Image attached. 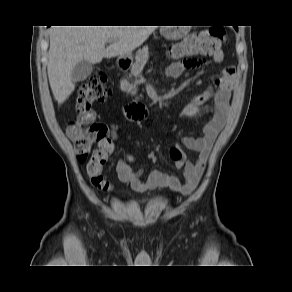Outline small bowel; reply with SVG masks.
Returning a JSON list of instances; mask_svg holds the SVG:
<instances>
[{"label":"small bowel","mask_w":292,"mask_h":292,"mask_svg":"<svg viewBox=\"0 0 292 292\" xmlns=\"http://www.w3.org/2000/svg\"><path fill=\"white\" fill-rule=\"evenodd\" d=\"M224 53L217 49L213 53L214 63H221ZM205 63L203 58H188L171 63L165 70L169 78H178L185 69H198ZM235 84V69L227 67L223 70L222 76L215 81L216 89L209 88L202 94L196 96L182 110L184 117H196L203 113H209L203 135L198 138H185L184 146L197 153L194 162L186 161L184 156L175 161V166L183 170V178L159 171L152 170L145 177L141 171H135L131 163L135 158L127 154L125 159L118 161L116 172L120 181L128 183L136 191H144L154 188H169L184 195L191 194L197 187L199 180L205 170L209 152L218 136L229 113L230 99ZM213 98L212 106H204V102Z\"/></svg>","instance_id":"c3829d8e"}]
</instances>
